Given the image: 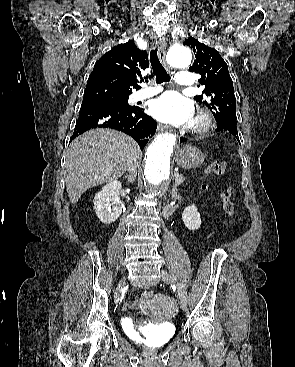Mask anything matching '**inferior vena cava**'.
I'll return each mask as SVG.
<instances>
[{"label":"inferior vena cava","mask_w":295,"mask_h":367,"mask_svg":"<svg viewBox=\"0 0 295 367\" xmlns=\"http://www.w3.org/2000/svg\"><path fill=\"white\" fill-rule=\"evenodd\" d=\"M138 165V164H137ZM137 165L136 164H133L131 165L129 168H128V171L130 172V174L132 173H136V168H137Z\"/></svg>","instance_id":"1"}]
</instances>
